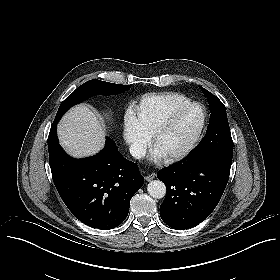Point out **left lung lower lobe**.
Returning a JSON list of instances; mask_svg holds the SVG:
<instances>
[{
    "mask_svg": "<svg viewBox=\"0 0 280 280\" xmlns=\"http://www.w3.org/2000/svg\"><path fill=\"white\" fill-rule=\"evenodd\" d=\"M232 159L209 157L187 160L162 169L157 177L167 188L160 206L162 220L184 230L204 221L217 206L229 179Z\"/></svg>",
    "mask_w": 280,
    "mask_h": 280,
    "instance_id": "0a47b994",
    "label": "left lung lower lobe"
}]
</instances>
